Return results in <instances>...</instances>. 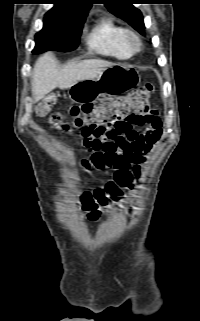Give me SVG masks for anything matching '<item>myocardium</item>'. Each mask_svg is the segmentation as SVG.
Returning <instances> with one entry per match:
<instances>
[{
  "mask_svg": "<svg viewBox=\"0 0 200 321\" xmlns=\"http://www.w3.org/2000/svg\"><path fill=\"white\" fill-rule=\"evenodd\" d=\"M123 43L126 47V49L131 53L135 54L141 51L142 49V40L140 36L131 30H127L124 38H123Z\"/></svg>",
  "mask_w": 200,
  "mask_h": 321,
  "instance_id": "myocardium-1",
  "label": "myocardium"
}]
</instances>
